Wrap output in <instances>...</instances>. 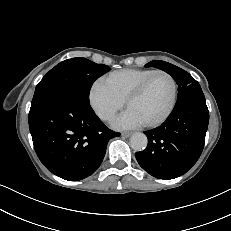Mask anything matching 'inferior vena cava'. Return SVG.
I'll return each instance as SVG.
<instances>
[{
	"label": "inferior vena cava",
	"mask_w": 231,
	"mask_h": 231,
	"mask_svg": "<svg viewBox=\"0 0 231 231\" xmlns=\"http://www.w3.org/2000/svg\"><path fill=\"white\" fill-rule=\"evenodd\" d=\"M110 117H111L110 114H108V115L105 116L106 119H109Z\"/></svg>",
	"instance_id": "1"
}]
</instances>
